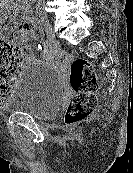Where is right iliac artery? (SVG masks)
Here are the masks:
<instances>
[{
  "label": "right iliac artery",
  "mask_w": 133,
  "mask_h": 173,
  "mask_svg": "<svg viewBox=\"0 0 133 173\" xmlns=\"http://www.w3.org/2000/svg\"><path fill=\"white\" fill-rule=\"evenodd\" d=\"M43 45H45V47H50L51 43H49L48 39H43Z\"/></svg>",
  "instance_id": "82829eb1"
}]
</instances>
